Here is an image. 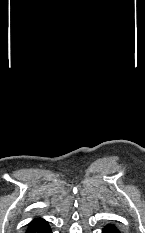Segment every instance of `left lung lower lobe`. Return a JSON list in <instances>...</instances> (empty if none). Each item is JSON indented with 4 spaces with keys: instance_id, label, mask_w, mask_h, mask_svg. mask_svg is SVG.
<instances>
[{
    "instance_id": "left-lung-lower-lobe-1",
    "label": "left lung lower lobe",
    "mask_w": 145,
    "mask_h": 233,
    "mask_svg": "<svg viewBox=\"0 0 145 233\" xmlns=\"http://www.w3.org/2000/svg\"><path fill=\"white\" fill-rule=\"evenodd\" d=\"M102 233H120L113 224H107L103 227Z\"/></svg>"
}]
</instances>
